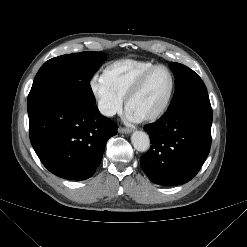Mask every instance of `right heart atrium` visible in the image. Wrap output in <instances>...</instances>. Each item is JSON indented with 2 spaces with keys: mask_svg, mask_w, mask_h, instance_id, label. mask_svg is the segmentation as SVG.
I'll return each mask as SVG.
<instances>
[{
  "mask_svg": "<svg viewBox=\"0 0 247 247\" xmlns=\"http://www.w3.org/2000/svg\"><path fill=\"white\" fill-rule=\"evenodd\" d=\"M90 87L102 115L112 117L122 110L123 96L114 88L105 72L93 75L90 79Z\"/></svg>",
  "mask_w": 247,
  "mask_h": 247,
  "instance_id": "d8ad5b80",
  "label": "right heart atrium"
}]
</instances>
